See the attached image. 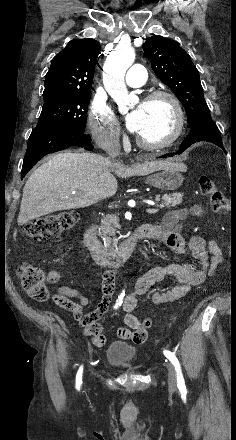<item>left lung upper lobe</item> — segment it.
Instances as JSON below:
<instances>
[{
	"instance_id": "obj_1",
	"label": "left lung upper lobe",
	"mask_w": 236,
	"mask_h": 440,
	"mask_svg": "<svg viewBox=\"0 0 236 440\" xmlns=\"http://www.w3.org/2000/svg\"><path fill=\"white\" fill-rule=\"evenodd\" d=\"M145 55L151 59L152 69L183 104L188 127L193 129L211 119L204 100L197 68L178 42L162 36H152L143 44Z\"/></svg>"
}]
</instances>
